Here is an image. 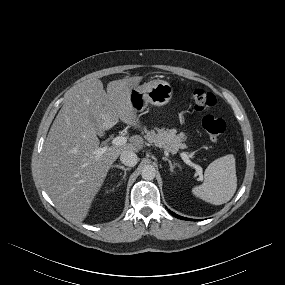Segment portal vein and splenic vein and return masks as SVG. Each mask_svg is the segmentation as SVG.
I'll use <instances>...</instances> for the list:
<instances>
[{
  "label": "portal vein and splenic vein",
  "instance_id": "obj_1",
  "mask_svg": "<svg viewBox=\"0 0 285 285\" xmlns=\"http://www.w3.org/2000/svg\"><path fill=\"white\" fill-rule=\"evenodd\" d=\"M126 142H127V138L124 136H117V137L113 138V140L111 141L112 145H115V146L124 145V144H126ZM106 148H107V146L100 148L96 151V159H98L103 153H105ZM180 156L186 164L193 167L198 172L200 179H202V168H201V166L191 162V160L189 159V156L186 153H180Z\"/></svg>",
  "mask_w": 285,
  "mask_h": 285
}]
</instances>
